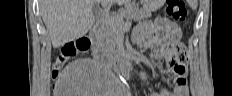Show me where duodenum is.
Masks as SVG:
<instances>
[{
	"label": "duodenum",
	"mask_w": 232,
	"mask_h": 96,
	"mask_svg": "<svg viewBox=\"0 0 232 96\" xmlns=\"http://www.w3.org/2000/svg\"><path fill=\"white\" fill-rule=\"evenodd\" d=\"M99 33L100 28L98 26H94L89 32V39L92 41L93 57L99 61H109L119 75L122 77H128L133 70V65L127 54L124 50L120 49L119 53L115 57H112L110 53L103 51L95 43Z\"/></svg>",
	"instance_id": "obj_1"
}]
</instances>
